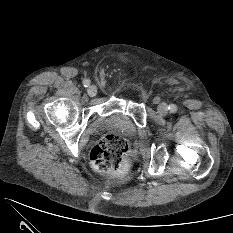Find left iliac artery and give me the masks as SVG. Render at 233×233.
<instances>
[{
  "label": "left iliac artery",
  "mask_w": 233,
  "mask_h": 233,
  "mask_svg": "<svg viewBox=\"0 0 233 233\" xmlns=\"http://www.w3.org/2000/svg\"><path fill=\"white\" fill-rule=\"evenodd\" d=\"M169 110L171 111V112H176L177 111V107H176V105H174V104H171L170 106H169Z\"/></svg>",
  "instance_id": "44dca946"
}]
</instances>
